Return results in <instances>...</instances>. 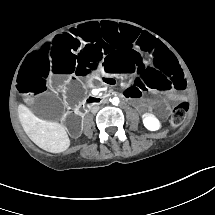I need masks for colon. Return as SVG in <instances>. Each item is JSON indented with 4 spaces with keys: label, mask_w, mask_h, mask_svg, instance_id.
<instances>
[{
    "label": "colon",
    "mask_w": 215,
    "mask_h": 215,
    "mask_svg": "<svg viewBox=\"0 0 215 215\" xmlns=\"http://www.w3.org/2000/svg\"><path fill=\"white\" fill-rule=\"evenodd\" d=\"M189 110L188 102H181L175 106L171 115V125L177 127L182 124Z\"/></svg>",
    "instance_id": "colon-1"
}]
</instances>
